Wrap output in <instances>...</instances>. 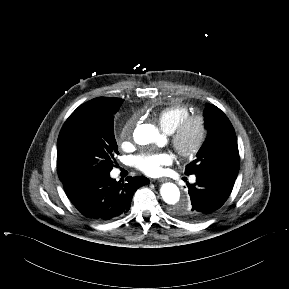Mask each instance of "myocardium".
Here are the masks:
<instances>
[{"label": "myocardium", "mask_w": 289, "mask_h": 289, "mask_svg": "<svg viewBox=\"0 0 289 289\" xmlns=\"http://www.w3.org/2000/svg\"><path fill=\"white\" fill-rule=\"evenodd\" d=\"M191 125H196L198 135L195 142L186 145L185 134ZM208 134L206 120L201 115H190L182 120L171 133V142L177 153L184 158H191L197 155L205 144Z\"/></svg>", "instance_id": "f54148a6"}]
</instances>
